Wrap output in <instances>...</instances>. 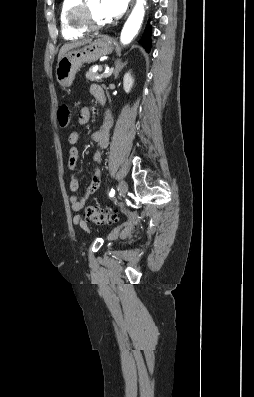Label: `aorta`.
I'll list each match as a JSON object with an SVG mask.
<instances>
[{
	"label": "aorta",
	"mask_w": 254,
	"mask_h": 397,
	"mask_svg": "<svg viewBox=\"0 0 254 397\" xmlns=\"http://www.w3.org/2000/svg\"><path fill=\"white\" fill-rule=\"evenodd\" d=\"M145 4V0L136 1V5L133 8L121 32L120 40L123 44L130 43L138 33L145 14Z\"/></svg>",
	"instance_id": "1"
}]
</instances>
